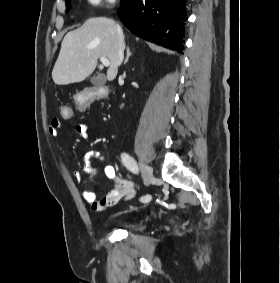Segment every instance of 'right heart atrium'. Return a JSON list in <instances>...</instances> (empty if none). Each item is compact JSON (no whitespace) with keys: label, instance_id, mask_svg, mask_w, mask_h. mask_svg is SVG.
<instances>
[{"label":"right heart atrium","instance_id":"obj_1","mask_svg":"<svg viewBox=\"0 0 280 283\" xmlns=\"http://www.w3.org/2000/svg\"><path fill=\"white\" fill-rule=\"evenodd\" d=\"M115 0H87L88 4L92 5V6H101L104 4H111L113 3Z\"/></svg>","mask_w":280,"mask_h":283}]
</instances>
